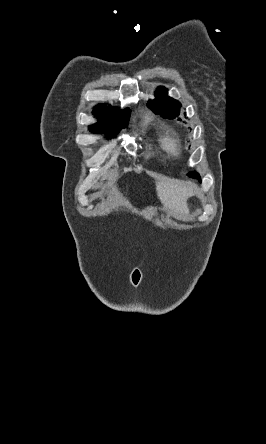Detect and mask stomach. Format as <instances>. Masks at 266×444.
<instances>
[{
    "mask_svg": "<svg viewBox=\"0 0 266 444\" xmlns=\"http://www.w3.org/2000/svg\"><path fill=\"white\" fill-rule=\"evenodd\" d=\"M187 210H188V211L190 210V206H187Z\"/></svg>",
    "mask_w": 266,
    "mask_h": 444,
    "instance_id": "1",
    "label": "stomach"
}]
</instances>
